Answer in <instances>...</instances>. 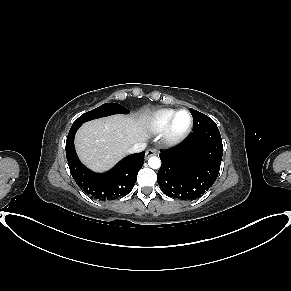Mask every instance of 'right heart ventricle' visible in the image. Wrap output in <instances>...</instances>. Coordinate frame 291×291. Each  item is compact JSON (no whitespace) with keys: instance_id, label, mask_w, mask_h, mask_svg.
<instances>
[{"instance_id":"right-heart-ventricle-1","label":"right heart ventricle","mask_w":291,"mask_h":291,"mask_svg":"<svg viewBox=\"0 0 291 291\" xmlns=\"http://www.w3.org/2000/svg\"><path fill=\"white\" fill-rule=\"evenodd\" d=\"M175 111L174 109H161L153 113L148 120L150 130L153 133L164 131Z\"/></svg>"}]
</instances>
